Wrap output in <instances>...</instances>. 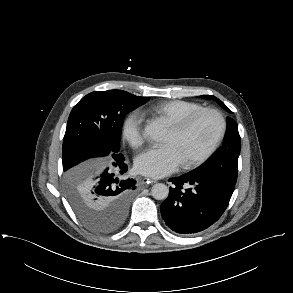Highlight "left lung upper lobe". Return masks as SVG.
Instances as JSON below:
<instances>
[{
    "instance_id": "obj_1",
    "label": "left lung upper lobe",
    "mask_w": 293,
    "mask_h": 293,
    "mask_svg": "<svg viewBox=\"0 0 293 293\" xmlns=\"http://www.w3.org/2000/svg\"><path fill=\"white\" fill-rule=\"evenodd\" d=\"M201 97L213 99L220 104L223 109L231 112L225 104L215 96L203 95ZM227 121L228 127L223 146L203 165L193 171L203 175H214L235 184L238 174L240 135L237 123L231 118H228Z\"/></svg>"
}]
</instances>
